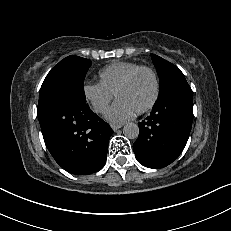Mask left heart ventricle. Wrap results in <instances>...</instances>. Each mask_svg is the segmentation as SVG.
I'll list each match as a JSON object with an SVG mask.
<instances>
[{
	"label": "left heart ventricle",
	"mask_w": 231,
	"mask_h": 231,
	"mask_svg": "<svg viewBox=\"0 0 231 231\" xmlns=\"http://www.w3.org/2000/svg\"><path fill=\"white\" fill-rule=\"evenodd\" d=\"M154 93V81L150 73H139L133 82L120 91L118 99L126 102L135 111L145 106Z\"/></svg>",
	"instance_id": "obj_1"
}]
</instances>
